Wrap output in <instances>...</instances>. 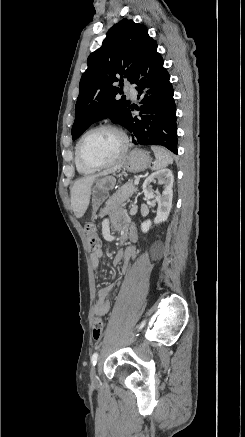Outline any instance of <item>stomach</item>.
Instances as JSON below:
<instances>
[{"label":"stomach","instance_id":"stomach-1","mask_svg":"<svg viewBox=\"0 0 245 437\" xmlns=\"http://www.w3.org/2000/svg\"><path fill=\"white\" fill-rule=\"evenodd\" d=\"M151 163V157L148 152L141 149H134L129 152L123 168L129 172L137 173L146 170ZM116 180L112 175H105L96 180L94 187L91 190V200L93 212L103 204L107 199L109 190L113 189Z\"/></svg>","mask_w":245,"mask_h":437}]
</instances>
